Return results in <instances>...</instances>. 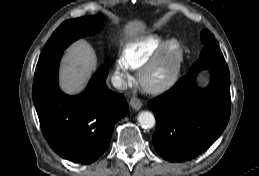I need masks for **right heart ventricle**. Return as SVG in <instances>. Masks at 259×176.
Wrapping results in <instances>:
<instances>
[{
    "mask_svg": "<svg viewBox=\"0 0 259 176\" xmlns=\"http://www.w3.org/2000/svg\"><path fill=\"white\" fill-rule=\"evenodd\" d=\"M166 37L160 34H147L127 43L122 59L128 68L139 70L164 44Z\"/></svg>",
    "mask_w": 259,
    "mask_h": 176,
    "instance_id": "1",
    "label": "right heart ventricle"
}]
</instances>
